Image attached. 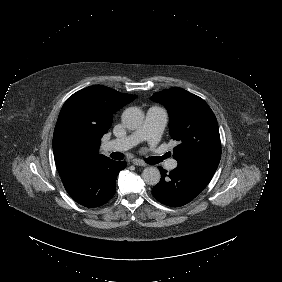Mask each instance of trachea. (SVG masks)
<instances>
[{
  "label": "trachea",
  "instance_id": "trachea-1",
  "mask_svg": "<svg viewBox=\"0 0 282 282\" xmlns=\"http://www.w3.org/2000/svg\"><path fill=\"white\" fill-rule=\"evenodd\" d=\"M111 158L115 159V160H122L124 159V154L121 152H112L111 153ZM170 157V153H166L163 156L160 157H148L145 158V162L148 164H156V163H160L161 161H163L164 159Z\"/></svg>",
  "mask_w": 282,
  "mask_h": 282
}]
</instances>
